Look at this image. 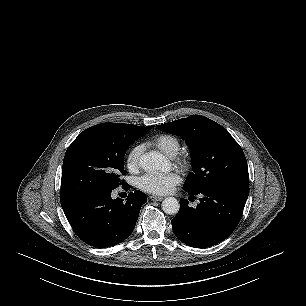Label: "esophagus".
<instances>
[{
  "label": "esophagus",
  "instance_id": "1",
  "mask_svg": "<svg viewBox=\"0 0 306 306\" xmlns=\"http://www.w3.org/2000/svg\"><path fill=\"white\" fill-rule=\"evenodd\" d=\"M149 198H150L152 201H161V200H163V197H161V196H156V195H151V196H149Z\"/></svg>",
  "mask_w": 306,
  "mask_h": 306
}]
</instances>
